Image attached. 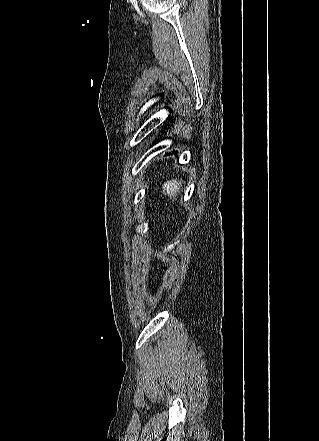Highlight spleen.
Returning <instances> with one entry per match:
<instances>
[{"mask_svg":"<svg viewBox=\"0 0 319 441\" xmlns=\"http://www.w3.org/2000/svg\"><path fill=\"white\" fill-rule=\"evenodd\" d=\"M182 186V180L171 179L163 184V194L168 195L170 199H176L178 193H180V187Z\"/></svg>","mask_w":319,"mask_h":441,"instance_id":"obj_1","label":"spleen"}]
</instances>
